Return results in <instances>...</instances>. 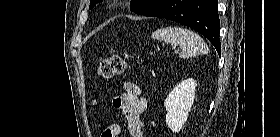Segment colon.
I'll use <instances>...</instances> for the list:
<instances>
[{
  "label": "colon",
  "mask_w": 280,
  "mask_h": 137,
  "mask_svg": "<svg viewBox=\"0 0 280 137\" xmlns=\"http://www.w3.org/2000/svg\"><path fill=\"white\" fill-rule=\"evenodd\" d=\"M126 60L123 56L114 54L104 59L98 66V75L102 79H111L122 75L126 70ZM118 128L107 130L102 137H117Z\"/></svg>",
  "instance_id": "obj_1"
}]
</instances>
